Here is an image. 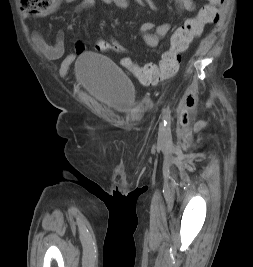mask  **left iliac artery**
Instances as JSON below:
<instances>
[{"label": "left iliac artery", "mask_w": 253, "mask_h": 267, "mask_svg": "<svg viewBox=\"0 0 253 267\" xmlns=\"http://www.w3.org/2000/svg\"><path fill=\"white\" fill-rule=\"evenodd\" d=\"M163 121L167 140L169 141L171 136V112L167 108L163 109Z\"/></svg>", "instance_id": "1"}]
</instances>
